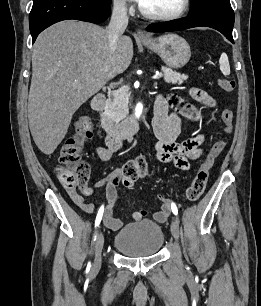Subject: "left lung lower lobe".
I'll return each mask as SVG.
<instances>
[{"label": "left lung lower lobe", "instance_id": "obj_1", "mask_svg": "<svg viewBox=\"0 0 261 306\" xmlns=\"http://www.w3.org/2000/svg\"><path fill=\"white\" fill-rule=\"evenodd\" d=\"M233 25L234 12L232 9H227L219 12L189 15L168 22L154 23L149 25L146 30L150 32H166L206 26L218 30L230 42L234 43L232 37Z\"/></svg>", "mask_w": 261, "mask_h": 306}]
</instances>
